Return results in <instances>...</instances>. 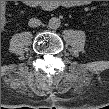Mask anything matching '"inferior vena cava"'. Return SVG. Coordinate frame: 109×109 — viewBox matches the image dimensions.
<instances>
[{
  "mask_svg": "<svg viewBox=\"0 0 109 109\" xmlns=\"http://www.w3.org/2000/svg\"><path fill=\"white\" fill-rule=\"evenodd\" d=\"M28 25L30 27H38L41 25V21L37 18H31L28 22Z\"/></svg>",
  "mask_w": 109,
  "mask_h": 109,
  "instance_id": "1",
  "label": "inferior vena cava"
}]
</instances>
